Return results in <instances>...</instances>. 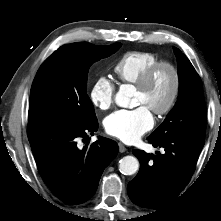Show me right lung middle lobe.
<instances>
[{"label":"right lung middle lobe","instance_id":"1","mask_svg":"<svg viewBox=\"0 0 221 221\" xmlns=\"http://www.w3.org/2000/svg\"><path fill=\"white\" fill-rule=\"evenodd\" d=\"M120 43L96 46L88 42L64 45L38 70L30 93L28 121L52 119L69 124H88L97 120L87 95L90 66L114 53Z\"/></svg>","mask_w":221,"mask_h":221}]
</instances>
